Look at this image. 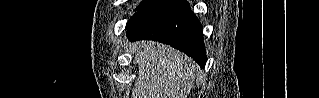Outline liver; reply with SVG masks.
Instances as JSON below:
<instances>
[{"label":"liver","instance_id":"liver-1","mask_svg":"<svg viewBox=\"0 0 319 98\" xmlns=\"http://www.w3.org/2000/svg\"><path fill=\"white\" fill-rule=\"evenodd\" d=\"M134 50L139 72L132 98H187L198 68L192 59L151 41L136 42Z\"/></svg>","mask_w":319,"mask_h":98}]
</instances>
